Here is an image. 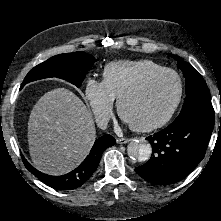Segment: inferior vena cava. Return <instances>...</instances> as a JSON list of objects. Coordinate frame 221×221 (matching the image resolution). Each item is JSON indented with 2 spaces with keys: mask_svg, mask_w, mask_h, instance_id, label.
Instances as JSON below:
<instances>
[{
  "mask_svg": "<svg viewBox=\"0 0 221 221\" xmlns=\"http://www.w3.org/2000/svg\"><path fill=\"white\" fill-rule=\"evenodd\" d=\"M107 124H108V118L104 117V118L97 119V126L100 129H103V130L106 129Z\"/></svg>",
  "mask_w": 221,
  "mask_h": 221,
  "instance_id": "602c4592",
  "label": "inferior vena cava"
}]
</instances>
